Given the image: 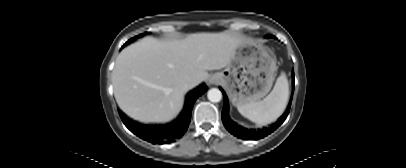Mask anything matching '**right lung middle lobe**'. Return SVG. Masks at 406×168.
<instances>
[{
    "label": "right lung middle lobe",
    "mask_w": 406,
    "mask_h": 168,
    "mask_svg": "<svg viewBox=\"0 0 406 168\" xmlns=\"http://www.w3.org/2000/svg\"><path fill=\"white\" fill-rule=\"evenodd\" d=\"M145 34H146V33L141 34V35H139V36H136V37H134V38L130 39L128 42H126V44H125V45H127L128 43H130V42L134 41L136 38L141 37V36H143V35H145Z\"/></svg>",
    "instance_id": "obj_1"
}]
</instances>
